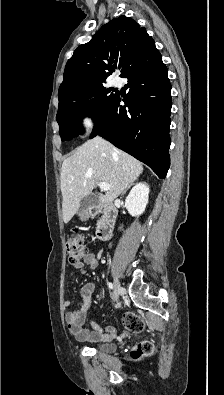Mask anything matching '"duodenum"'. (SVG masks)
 Returning a JSON list of instances; mask_svg holds the SVG:
<instances>
[{
  "mask_svg": "<svg viewBox=\"0 0 224 395\" xmlns=\"http://www.w3.org/2000/svg\"><path fill=\"white\" fill-rule=\"evenodd\" d=\"M98 214H102V217L96 230V239L98 241H104L112 236L117 209L114 205L93 207L90 215L96 216Z\"/></svg>",
  "mask_w": 224,
  "mask_h": 395,
  "instance_id": "duodenum-1",
  "label": "duodenum"
}]
</instances>
